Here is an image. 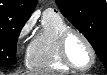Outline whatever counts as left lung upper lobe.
I'll return each instance as SVG.
<instances>
[{"mask_svg":"<svg viewBox=\"0 0 107 75\" xmlns=\"http://www.w3.org/2000/svg\"><path fill=\"white\" fill-rule=\"evenodd\" d=\"M62 14L88 39L107 69L106 0H56Z\"/></svg>","mask_w":107,"mask_h":75,"instance_id":"left-lung-upper-lobe-1","label":"left lung upper lobe"}]
</instances>
